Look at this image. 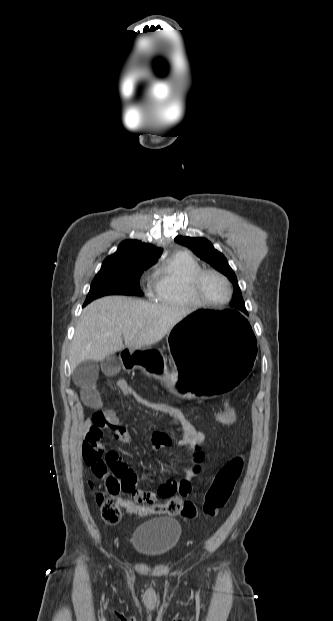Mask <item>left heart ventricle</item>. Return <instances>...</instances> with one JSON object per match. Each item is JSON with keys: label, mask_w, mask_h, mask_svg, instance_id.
<instances>
[{"label": "left heart ventricle", "mask_w": 333, "mask_h": 621, "mask_svg": "<svg viewBox=\"0 0 333 621\" xmlns=\"http://www.w3.org/2000/svg\"><path fill=\"white\" fill-rule=\"evenodd\" d=\"M201 294L211 301H222L227 296V286L218 277L214 275H207L201 282L200 286Z\"/></svg>", "instance_id": "left-heart-ventricle-1"}]
</instances>
